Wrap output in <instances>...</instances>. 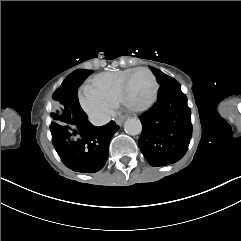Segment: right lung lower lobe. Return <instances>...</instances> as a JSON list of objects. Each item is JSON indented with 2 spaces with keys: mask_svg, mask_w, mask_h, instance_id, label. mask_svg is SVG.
Masks as SVG:
<instances>
[{
  "mask_svg": "<svg viewBox=\"0 0 241 241\" xmlns=\"http://www.w3.org/2000/svg\"><path fill=\"white\" fill-rule=\"evenodd\" d=\"M73 72L66 79V104L72 115V127L51 130L53 145L62 162L70 169L82 173H94L103 168L108 158L109 142L119 126L110 121L105 126L96 127L82 110L77 88L83 79Z\"/></svg>",
  "mask_w": 241,
  "mask_h": 241,
  "instance_id": "1",
  "label": "right lung lower lobe"
}]
</instances>
